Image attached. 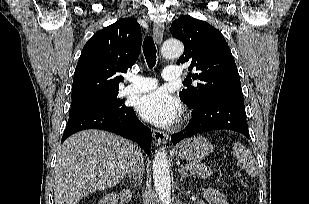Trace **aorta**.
Returning a JSON list of instances; mask_svg holds the SVG:
<instances>
[{"label":"aorta","instance_id":"aorta-1","mask_svg":"<svg viewBox=\"0 0 309 204\" xmlns=\"http://www.w3.org/2000/svg\"><path fill=\"white\" fill-rule=\"evenodd\" d=\"M184 52L183 44L174 39L163 43L161 53L166 59L180 57ZM153 179L156 192L162 204H169L171 197V181L165 149L158 150L153 160Z\"/></svg>","mask_w":309,"mask_h":204}]
</instances>
